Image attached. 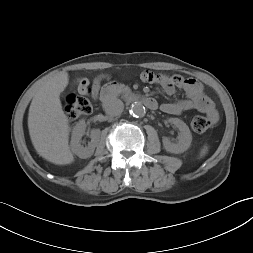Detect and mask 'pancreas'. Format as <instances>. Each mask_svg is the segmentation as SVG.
Masks as SVG:
<instances>
[{
  "label": "pancreas",
  "mask_w": 253,
  "mask_h": 253,
  "mask_svg": "<svg viewBox=\"0 0 253 253\" xmlns=\"http://www.w3.org/2000/svg\"><path fill=\"white\" fill-rule=\"evenodd\" d=\"M118 92L119 93H125V94H127V93H130L131 90H130V88L128 86H125L124 84H120L118 86Z\"/></svg>",
  "instance_id": "pancreas-1"
}]
</instances>
